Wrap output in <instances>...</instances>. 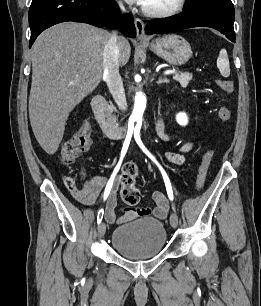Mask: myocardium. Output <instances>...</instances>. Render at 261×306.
Here are the masks:
<instances>
[{
  "label": "myocardium",
  "instance_id": "1",
  "mask_svg": "<svg viewBox=\"0 0 261 306\" xmlns=\"http://www.w3.org/2000/svg\"><path fill=\"white\" fill-rule=\"evenodd\" d=\"M186 5V0H176L175 3L166 9H150L144 6L142 8V11L144 14L150 17H156V18H166L174 16L178 13H180Z\"/></svg>",
  "mask_w": 261,
  "mask_h": 306
}]
</instances>
